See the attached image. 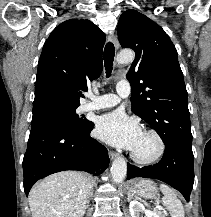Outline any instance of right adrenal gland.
Returning <instances> with one entry per match:
<instances>
[{"instance_id":"2a0ac1e0","label":"right adrenal gland","mask_w":211,"mask_h":217,"mask_svg":"<svg viewBox=\"0 0 211 217\" xmlns=\"http://www.w3.org/2000/svg\"><path fill=\"white\" fill-rule=\"evenodd\" d=\"M92 195H93V189H92V191H91V193H90L89 196H92ZM87 203H88V206H89V200L87 201Z\"/></svg>"}]
</instances>
